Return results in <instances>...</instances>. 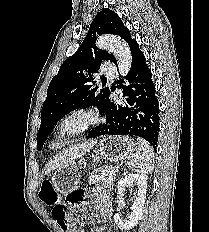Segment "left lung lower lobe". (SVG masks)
<instances>
[{
  "label": "left lung lower lobe",
  "mask_w": 209,
  "mask_h": 232,
  "mask_svg": "<svg viewBox=\"0 0 209 232\" xmlns=\"http://www.w3.org/2000/svg\"><path fill=\"white\" fill-rule=\"evenodd\" d=\"M132 64L126 80H118L123 89L121 104L108 101L103 116L106 122L93 128L87 139L101 135H135L148 141L156 151L159 134V105L151 70L136 41L130 46Z\"/></svg>",
  "instance_id": "0a47b994"
}]
</instances>
